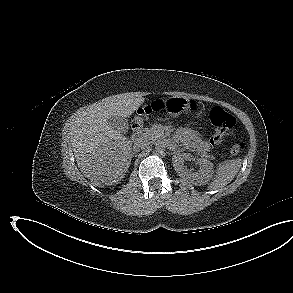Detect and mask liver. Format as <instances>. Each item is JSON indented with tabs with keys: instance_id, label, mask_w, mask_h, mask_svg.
Masks as SVG:
<instances>
[{
	"instance_id": "obj_1",
	"label": "liver",
	"mask_w": 293,
	"mask_h": 293,
	"mask_svg": "<svg viewBox=\"0 0 293 293\" xmlns=\"http://www.w3.org/2000/svg\"><path fill=\"white\" fill-rule=\"evenodd\" d=\"M143 102V97L124 93L107 97L75 114L70 124V142L78 167L95 185L116 183L126 175L132 143L111 128L108 119L130 117Z\"/></svg>"
}]
</instances>
